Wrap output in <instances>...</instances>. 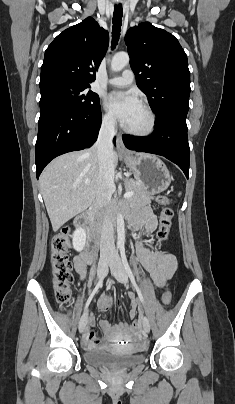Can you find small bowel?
Wrapping results in <instances>:
<instances>
[{"label": "small bowel", "mask_w": 235, "mask_h": 404, "mask_svg": "<svg viewBox=\"0 0 235 404\" xmlns=\"http://www.w3.org/2000/svg\"><path fill=\"white\" fill-rule=\"evenodd\" d=\"M133 225L139 230V238L137 241V255L141 263L145 266L150 274L153 284L157 288H163L166 282L173 276L177 268V258L170 251H161L151 247L149 237L156 227V218L153 211L149 207H144L139 214L133 219ZM161 243L158 242L157 246ZM90 255L87 252H81L74 258V266L76 272L81 278L86 275V266L91 263ZM131 310L129 317L134 319L136 316V301L130 297ZM98 308L102 312H108L112 308V300L106 295H101L98 300ZM95 318L92 314L89 315L86 326L83 330L82 344L87 349H94L104 345L105 341L116 342L121 339H130L132 330L127 323L121 322L115 326L107 320H101L99 326L103 331L104 338H99L93 331Z\"/></svg>", "instance_id": "small-bowel-1"}]
</instances>
